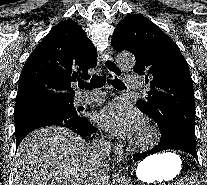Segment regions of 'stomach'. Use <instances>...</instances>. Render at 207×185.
<instances>
[{"label": "stomach", "instance_id": "1", "mask_svg": "<svg viewBox=\"0 0 207 185\" xmlns=\"http://www.w3.org/2000/svg\"><path fill=\"white\" fill-rule=\"evenodd\" d=\"M180 171V157L174 153H163L141 161L137 167L136 176L147 184L161 183L173 179Z\"/></svg>", "mask_w": 207, "mask_h": 185}]
</instances>
